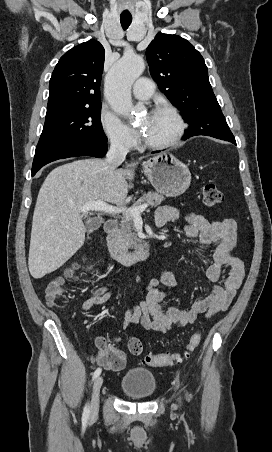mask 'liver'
Returning <instances> with one entry per match:
<instances>
[{
  "label": "liver",
  "instance_id": "liver-1",
  "mask_svg": "<svg viewBox=\"0 0 272 452\" xmlns=\"http://www.w3.org/2000/svg\"><path fill=\"white\" fill-rule=\"evenodd\" d=\"M134 171L112 168L106 159H81L53 169L38 193L29 248L28 266L39 279L60 268L84 244L87 212L80 208L102 200L122 202ZM92 219H87L90 224Z\"/></svg>",
  "mask_w": 272,
  "mask_h": 452
}]
</instances>
